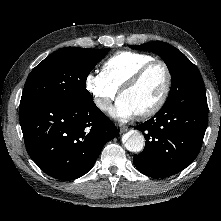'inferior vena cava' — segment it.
<instances>
[{
	"label": "inferior vena cava",
	"mask_w": 221,
	"mask_h": 221,
	"mask_svg": "<svg viewBox=\"0 0 221 221\" xmlns=\"http://www.w3.org/2000/svg\"><path fill=\"white\" fill-rule=\"evenodd\" d=\"M97 104H98L99 108H101V109H103V110L107 109V106H108L107 103L102 102V101L100 100V101H98Z\"/></svg>",
	"instance_id": "602c4592"
}]
</instances>
